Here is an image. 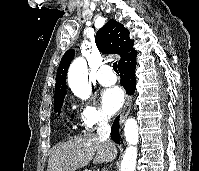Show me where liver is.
<instances>
[{"instance_id":"1","label":"liver","mask_w":199,"mask_h":171,"mask_svg":"<svg viewBox=\"0 0 199 171\" xmlns=\"http://www.w3.org/2000/svg\"><path fill=\"white\" fill-rule=\"evenodd\" d=\"M117 156L111 142L101 140L98 135L85 133L59 145L51 154L47 171H76L92 159L94 164L107 163Z\"/></svg>"}]
</instances>
